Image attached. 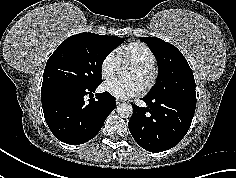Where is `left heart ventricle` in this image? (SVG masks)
<instances>
[{
  "label": "left heart ventricle",
  "mask_w": 236,
  "mask_h": 178,
  "mask_svg": "<svg viewBox=\"0 0 236 178\" xmlns=\"http://www.w3.org/2000/svg\"><path fill=\"white\" fill-rule=\"evenodd\" d=\"M126 78L128 79H135L137 80L142 86L147 81L149 75L139 69L129 67L125 74Z\"/></svg>",
  "instance_id": "b2bd125f"
}]
</instances>
